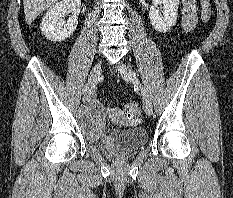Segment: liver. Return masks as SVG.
I'll use <instances>...</instances> for the list:
<instances>
[{
  "mask_svg": "<svg viewBox=\"0 0 233 198\" xmlns=\"http://www.w3.org/2000/svg\"><path fill=\"white\" fill-rule=\"evenodd\" d=\"M57 2L58 0H23L26 22L31 24L38 15Z\"/></svg>",
  "mask_w": 233,
  "mask_h": 198,
  "instance_id": "liver-1",
  "label": "liver"
}]
</instances>
